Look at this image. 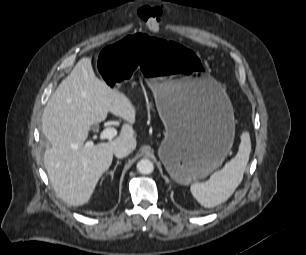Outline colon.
<instances>
[{"label":"colon","instance_id":"obj_1","mask_svg":"<svg viewBox=\"0 0 306 255\" xmlns=\"http://www.w3.org/2000/svg\"><path fill=\"white\" fill-rule=\"evenodd\" d=\"M161 16L162 8L160 6H145L140 10L141 19L152 31L158 30Z\"/></svg>","mask_w":306,"mask_h":255}]
</instances>
